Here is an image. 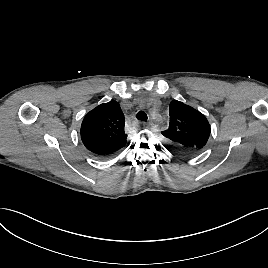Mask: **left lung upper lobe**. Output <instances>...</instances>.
<instances>
[{"label":"left lung upper lobe","instance_id":"obj_1","mask_svg":"<svg viewBox=\"0 0 268 268\" xmlns=\"http://www.w3.org/2000/svg\"><path fill=\"white\" fill-rule=\"evenodd\" d=\"M169 128L161 133L174 147L201 152L210 136V125L198 110L177 100L169 105Z\"/></svg>","mask_w":268,"mask_h":268}]
</instances>
